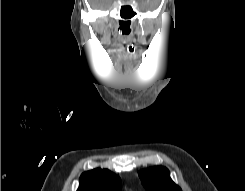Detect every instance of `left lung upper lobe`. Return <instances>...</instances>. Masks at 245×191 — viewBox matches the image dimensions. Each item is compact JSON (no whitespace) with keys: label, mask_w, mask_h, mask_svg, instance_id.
I'll return each instance as SVG.
<instances>
[{"label":"left lung upper lobe","mask_w":245,"mask_h":191,"mask_svg":"<svg viewBox=\"0 0 245 191\" xmlns=\"http://www.w3.org/2000/svg\"><path fill=\"white\" fill-rule=\"evenodd\" d=\"M142 184L147 191H182L170 178L165 167H152L139 172Z\"/></svg>","instance_id":"obj_1"}]
</instances>
